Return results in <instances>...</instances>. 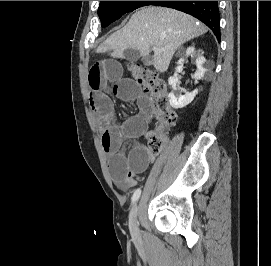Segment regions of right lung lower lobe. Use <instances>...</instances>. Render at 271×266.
Wrapping results in <instances>:
<instances>
[{"mask_svg": "<svg viewBox=\"0 0 271 266\" xmlns=\"http://www.w3.org/2000/svg\"><path fill=\"white\" fill-rule=\"evenodd\" d=\"M150 5L174 8L196 17L205 23L220 41L218 1H153Z\"/></svg>", "mask_w": 271, "mask_h": 266, "instance_id": "1", "label": "right lung lower lobe"}]
</instances>
